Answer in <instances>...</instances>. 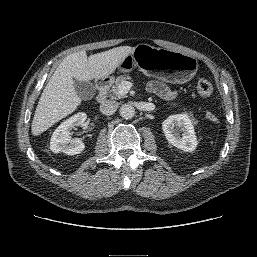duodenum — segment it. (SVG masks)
<instances>
[{
  "label": "duodenum",
  "instance_id": "1",
  "mask_svg": "<svg viewBox=\"0 0 257 257\" xmlns=\"http://www.w3.org/2000/svg\"><path fill=\"white\" fill-rule=\"evenodd\" d=\"M109 85H110L109 79H100L96 82V87L98 90V96H97L98 102H104L107 99Z\"/></svg>",
  "mask_w": 257,
  "mask_h": 257
}]
</instances>
